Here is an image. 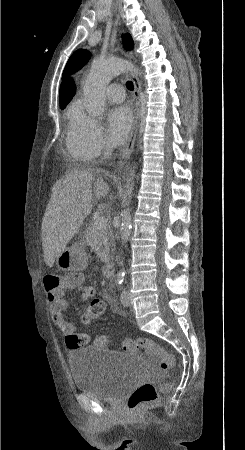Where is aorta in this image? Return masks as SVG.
I'll return each mask as SVG.
<instances>
[{
	"label": "aorta",
	"instance_id": "obj_1",
	"mask_svg": "<svg viewBox=\"0 0 245 450\" xmlns=\"http://www.w3.org/2000/svg\"><path fill=\"white\" fill-rule=\"evenodd\" d=\"M135 68L124 59H113L104 62H94L86 78L83 94L87 112L93 117L102 115L105 109V87L108 82L120 73ZM134 172L128 177L126 189L127 208L122 211L121 240L126 243L131 235V216L128 208L134 188Z\"/></svg>",
	"mask_w": 245,
	"mask_h": 450
}]
</instances>
